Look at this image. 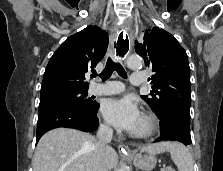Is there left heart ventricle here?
Returning <instances> with one entry per match:
<instances>
[{"mask_svg":"<svg viewBox=\"0 0 223 171\" xmlns=\"http://www.w3.org/2000/svg\"><path fill=\"white\" fill-rule=\"evenodd\" d=\"M143 127H144V125H143V122H142V119H141L140 122H139V124H138V126H137V128L135 129L134 132L141 131L143 129Z\"/></svg>","mask_w":223,"mask_h":171,"instance_id":"obj_1","label":"left heart ventricle"}]
</instances>
